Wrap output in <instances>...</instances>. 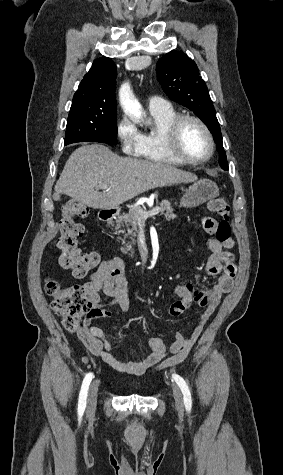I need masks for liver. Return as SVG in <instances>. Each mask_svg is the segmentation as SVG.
<instances>
[{"mask_svg":"<svg viewBox=\"0 0 283 475\" xmlns=\"http://www.w3.org/2000/svg\"><path fill=\"white\" fill-rule=\"evenodd\" d=\"M198 180L195 174L177 170L169 164L146 162L139 158H120L106 146H82L69 156L55 186L56 194H66L74 202L89 208H118L135 196L173 184ZM108 184L111 190L95 192L96 186Z\"/></svg>","mask_w":283,"mask_h":475,"instance_id":"1","label":"liver"}]
</instances>
